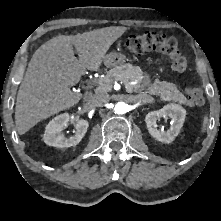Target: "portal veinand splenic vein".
<instances>
[{"instance_id":"obj_1","label":"portal vein and splenic vein","mask_w":221,"mask_h":221,"mask_svg":"<svg viewBox=\"0 0 221 221\" xmlns=\"http://www.w3.org/2000/svg\"><path fill=\"white\" fill-rule=\"evenodd\" d=\"M132 83H125V86H126V89L129 90V86L131 85Z\"/></svg>"}]
</instances>
